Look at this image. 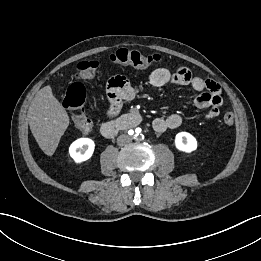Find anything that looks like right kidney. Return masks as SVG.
Wrapping results in <instances>:
<instances>
[{"label":"right kidney","instance_id":"ca27d5eb","mask_svg":"<svg viewBox=\"0 0 261 261\" xmlns=\"http://www.w3.org/2000/svg\"><path fill=\"white\" fill-rule=\"evenodd\" d=\"M94 148L92 139L79 138L70 145L69 154L76 163H81L91 158Z\"/></svg>","mask_w":261,"mask_h":261}]
</instances>
